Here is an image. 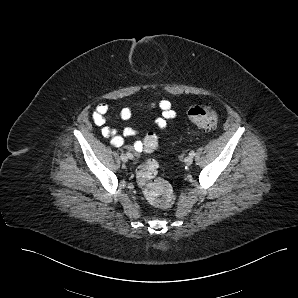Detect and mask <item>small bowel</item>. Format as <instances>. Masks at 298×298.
I'll return each mask as SVG.
<instances>
[{
	"label": "small bowel",
	"instance_id": "c3829d8e",
	"mask_svg": "<svg viewBox=\"0 0 298 298\" xmlns=\"http://www.w3.org/2000/svg\"><path fill=\"white\" fill-rule=\"evenodd\" d=\"M152 109H158L161 113V116L154 121V124L161 130L166 129L168 121L177 116L172 103L165 99L158 102L140 101L126 104L120 109L119 115L121 119L129 120L134 110L147 111ZM108 110L109 106L106 103L98 104L92 114V119L97 126L101 127L102 135L105 138H109L113 146L120 147L124 144L125 138L134 136L137 130L132 127H125L121 133H118L116 129L106 126V114ZM129 148L136 153L143 151V145L140 140L134 141Z\"/></svg>",
	"mask_w": 298,
	"mask_h": 298
}]
</instances>
